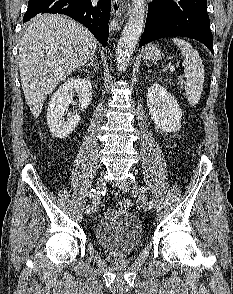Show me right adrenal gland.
<instances>
[{
    "label": "right adrenal gland",
    "instance_id": "2a0ac1e0",
    "mask_svg": "<svg viewBox=\"0 0 233 294\" xmlns=\"http://www.w3.org/2000/svg\"><path fill=\"white\" fill-rule=\"evenodd\" d=\"M97 59V56L93 57V59L86 65L87 67L92 66L95 70L98 69L97 65L95 64V61Z\"/></svg>",
    "mask_w": 233,
    "mask_h": 294
}]
</instances>
